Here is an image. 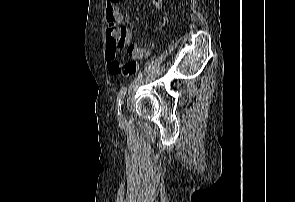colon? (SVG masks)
<instances>
[{
    "mask_svg": "<svg viewBox=\"0 0 295 202\" xmlns=\"http://www.w3.org/2000/svg\"><path fill=\"white\" fill-rule=\"evenodd\" d=\"M112 1H115V0H112ZM107 2H109V0ZM118 27L119 26L116 21H110L106 38H107V44L109 47H119L120 49L122 39L120 38V36L118 35L116 31ZM116 69L118 70V68Z\"/></svg>",
    "mask_w": 295,
    "mask_h": 202,
    "instance_id": "5ec220e1",
    "label": "colon"
}]
</instances>
